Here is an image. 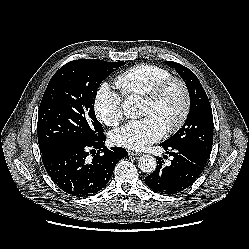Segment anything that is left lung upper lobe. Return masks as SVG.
Listing matches in <instances>:
<instances>
[{"label":"left lung upper lobe","mask_w":249,"mask_h":249,"mask_svg":"<svg viewBox=\"0 0 249 249\" xmlns=\"http://www.w3.org/2000/svg\"><path fill=\"white\" fill-rule=\"evenodd\" d=\"M166 64L175 68L186 83L190 96V112L183 127L163 143L192 148L208 158L213 144V115L209 99L191 70L172 61H166Z\"/></svg>","instance_id":"5c2ea615"}]
</instances>
